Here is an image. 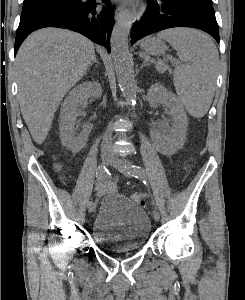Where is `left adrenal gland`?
I'll use <instances>...</instances> for the list:
<instances>
[{"label":"left adrenal gland","mask_w":245,"mask_h":300,"mask_svg":"<svg viewBox=\"0 0 245 300\" xmlns=\"http://www.w3.org/2000/svg\"><path fill=\"white\" fill-rule=\"evenodd\" d=\"M145 66H149V63H148V61H147L146 58H144V61H143L142 65H141L140 69H143V67H145Z\"/></svg>","instance_id":"a2214340"}]
</instances>
